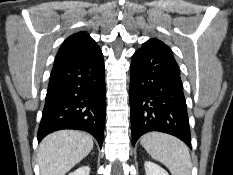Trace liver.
Returning a JSON list of instances; mask_svg holds the SVG:
<instances>
[{
    "mask_svg": "<svg viewBox=\"0 0 233 175\" xmlns=\"http://www.w3.org/2000/svg\"><path fill=\"white\" fill-rule=\"evenodd\" d=\"M93 148V139L77 130H60L46 136L39 145L40 175H65Z\"/></svg>",
    "mask_w": 233,
    "mask_h": 175,
    "instance_id": "6515ba94",
    "label": "liver"
}]
</instances>
